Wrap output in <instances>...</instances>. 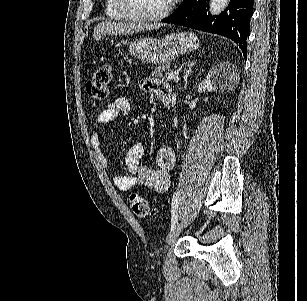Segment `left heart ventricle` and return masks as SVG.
Wrapping results in <instances>:
<instances>
[{
	"mask_svg": "<svg viewBox=\"0 0 307 301\" xmlns=\"http://www.w3.org/2000/svg\"><path fill=\"white\" fill-rule=\"evenodd\" d=\"M163 0H134L126 3V13H154L161 11Z\"/></svg>",
	"mask_w": 307,
	"mask_h": 301,
	"instance_id": "obj_1",
	"label": "left heart ventricle"
}]
</instances>
